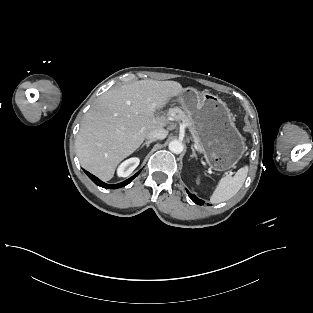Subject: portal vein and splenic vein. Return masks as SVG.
Listing matches in <instances>:
<instances>
[{"mask_svg":"<svg viewBox=\"0 0 313 313\" xmlns=\"http://www.w3.org/2000/svg\"><path fill=\"white\" fill-rule=\"evenodd\" d=\"M232 174H233L232 172L229 173V175H232Z\"/></svg>","mask_w":313,"mask_h":313,"instance_id":"obj_1","label":"portal vein and splenic vein"}]
</instances>
